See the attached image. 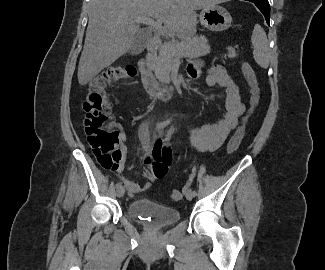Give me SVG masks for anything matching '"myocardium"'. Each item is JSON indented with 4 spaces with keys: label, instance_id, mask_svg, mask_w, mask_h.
Returning a JSON list of instances; mask_svg holds the SVG:
<instances>
[{
    "label": "myocardium",
    "instance_id": "1",
    "mask_svg": "<svg viewBox=\"0 0 325 270\" xmlns=\"http://www.w3.org/2000/svg\"><path fill=\"white\" fill-rule=\"evenodd\" d=\"M214 2H223V1H228V0H212Z\"/></svg>",
    "mask_w": 325,
    "mask_h": 270
}]
</instances>
